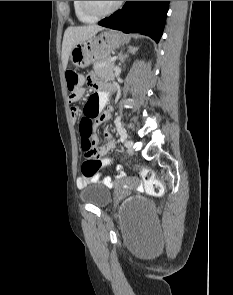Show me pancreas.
<instances>
[{
    "instance_id": "cf45deb5",
    "label": "pancreas",
    "mask_w": 233,
    "mask_h": 295,
    "mask_svg": "<svg viewBox=\"0 0 233 295\" xmlns=\"http://www.w3.org/2000/svg\"><path fill=\"white\" fill-rule=\"evenodd\" d=\"M93 69L95 73L101 77L108 76L113 79L116 75L114 71V62L110 60V58H106L103 60H99L94 63Z\"/></svg>"
}]
</instances>
